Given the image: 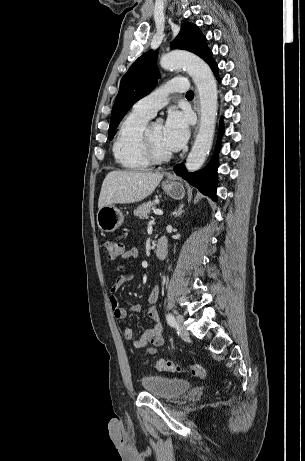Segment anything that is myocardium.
<instances>
[{
	"label": "myocardium",
	"mask_w": 305,
	"mask_h": 461,
	"mask_svg": "<svg viewBox=\"0 0 305 461\" xmlns=\"http://www.w3.org/2000/svg\"><path fill=\"white\" fill-rule=\"evenodd\" d=\"M151 125H146L142 135V148L145 156L151 163H163L172 158V153H159L152 142L150 135Z\"/></svg>",
	"instance_id": "f54148a6"
}]
</instances>
